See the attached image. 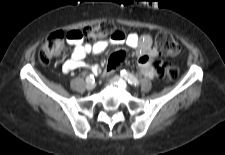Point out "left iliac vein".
Listing matches in <instances>:
<instances>
[{
	"label": "left iliac vein",
	"instance_id": "4c4485c4",
	"mask_svg": "<svg viewBox=\"0 0 225 155\" xmlns=\"http://www.w3.org/2000/svg\"><path fill=\"white\" fill-rule=\"evenodd\" d=\"M112 81L119 82V81H122V78L115 75V76L112 77ZM126 88L129 89L130 88L129 85H126Z\"/></svg>",
	"mask_w": 225,
	"mask_h": 155
}]
</instances>
